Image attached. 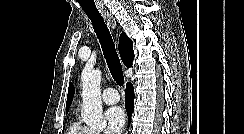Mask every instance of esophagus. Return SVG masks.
Wrapping results in <instances>:
<instances>
[{
    "label": "esophagus",
    "mask_w": 244,
    "mask_h": 134,
    "mask_svg": "<svg viewBox=\"0 0 244 134\" xmlns=\"http://www.w3.org/2000/svg\"><path fill=\"white\" fill-rule=\"evenodd\" d=\"M102 16H103L104 20L106 21V23L109 25V27H111V29L115 30L116 25H117L115 18L108 12H103Z\"/></svg>",
    "instance_id": "1"
}]
</instances>
